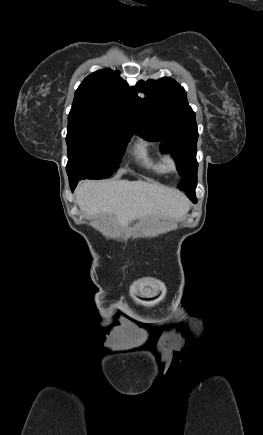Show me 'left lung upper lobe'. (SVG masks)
<instances>
[{
    "label": "left lung upper lobe",
    "instance_id": "5c2ea615",
    "mask_svg": "<svg viewBox=\"0 0 263 435\" xmlns=\"http://www.w3.org/2000/svg\"><path fill=\"white\" fill-rule=\"evenodd\" d=\"M137 92H144L147 98L140 99ZM133 100L138 108L136 133L152 141L161 140V150L171 152L176 161L181 176L177 188L186 192L195 190L198 132L184 88L167 77L139 81L133 89Z\"/></svg>",
    "mask_w": 263,
    "mask_h": 435
}]
</instances>
